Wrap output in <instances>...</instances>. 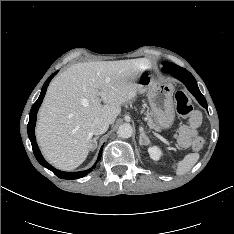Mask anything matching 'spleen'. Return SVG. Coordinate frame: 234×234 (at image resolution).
<instances>
[{
    "instance_id": "obj_1",
    "label": "spleen",
    "mask_w": 234,
    "mask_h": 234,
    "mask_svg": "<svg viewBox=\"0 0 234 234\" xmlns=\"http://www.w3.org/2000/svg\"><path fill=\"white\" fill-rule=\"evenodd\" d=\"M198 153L187 154L182 161L177 164L176 174L182 175L188 172L198 161Z\"/></svg>"
}]
</instances>
